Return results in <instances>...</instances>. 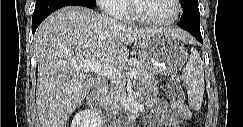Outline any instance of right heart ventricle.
Listing matches in <instances>:
<instances>
[{"mask_svg": "<svg viewBox=\"0 0 243 127\" xmlns=\"http://www.w3.org/2000/svg\"><path fill=\"white\" fill-rule=\"evenodd\" d=\"M127 2H129V1H120L119 6L122 10L120 16L125 19H130Z\"/></svg>", "mask_w": 243, "mask_h": 127, "instance_id": "right-heart-ventricle-1", "label": "right heart ventricle"}]
</instances>
